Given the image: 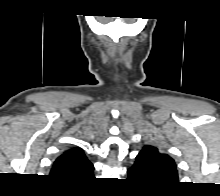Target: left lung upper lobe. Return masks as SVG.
<instances>
[{"mask_svg":"<svg viewBox=\"0 0 220 196\" xmlns=\"http://www.w3.org/2000/svg\"><path fill=\"white\" fill-rule=\"evenodd\" d=\"M137 160L157 186L166 187L177 183L178 173L175 161L156 147L144 146L139 152Z\"/></svg>","mask_w":220,"mask_h":196,"instance_id":"5c2ea615","label":"left lung upper lobe"}]
</instances>
